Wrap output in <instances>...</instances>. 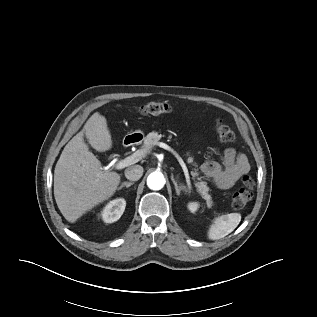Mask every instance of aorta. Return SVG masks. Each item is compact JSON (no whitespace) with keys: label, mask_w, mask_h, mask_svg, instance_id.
<instances>
[{"label":"aorta","mask_w":317,"mask_h":317,"mask_svg":"<svg viewBox=\"0 0 317 317\" xmlns=\"http://www.w3.org/2000/svg\"><path fill=\"white\" fill-rule=\"evenodd\" d=\"M165 178L161 172H152L147 177V186L152 190H160L165 185Z\"/></svg>","instance_id":"762f6f07"}]
</instances>
